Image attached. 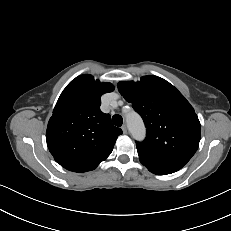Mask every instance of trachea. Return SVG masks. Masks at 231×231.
<instances>
[{
  "label": "trachea",
  "instance_id": "obj_1",
  "mask_svg": "<svg viewBox=\"0 0 231 231\" xmlns=\"http://www.w3.org/2000/svg\"><path fill=\"white\" fill-rule=\"evenodd\" d=\"M112 121L117 127H120L123 124V118L121 115L118 114L112 117Z\"/></svg>",
  "mask_w": 231,
  "mask_h": 231
}]
</instances>
